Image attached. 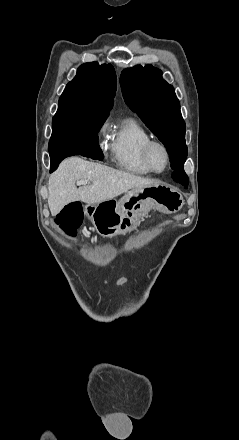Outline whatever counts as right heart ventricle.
Instances as JSON below:
<instances>
[{"label": "right heart ventricle", "mask_w": 239, "mask_h": 440, "mask_svg": "<svg viewBox=\"0 0 239 440\" xmlns=\"http://www.w3.org/2000/svg\"><path fill=\"white\" fill-rule=\"evenodd\" d=\"M151 140L150 133L132 119H127L113 132L110 148L113 164L129 173L149 175L143 159V147Z\"/></svg>", "instance_id": "1"}]
</instances>
